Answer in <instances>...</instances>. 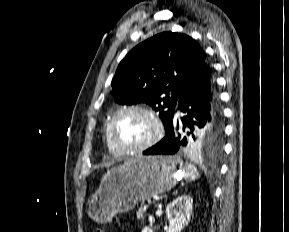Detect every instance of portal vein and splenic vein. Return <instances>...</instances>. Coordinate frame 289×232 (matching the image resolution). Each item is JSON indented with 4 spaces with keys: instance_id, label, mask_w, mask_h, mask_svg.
<instances>
[{
    "instance_id": "obj_1",
    "label": "portal vein and splenic vein",
    "mask_w": 289,
    "mask_h": 232,
    "mask_svg": "<svg viewBox=\"0 0 289 232\" xmlns=\"http://www.w3.org/2000/svg\"><path fill=\"white\" fill-rule=\"evenodd\" d=\"M154 200L157 201V198H155ZM154 200H148V203L152 204L154 202Z\"/></svg>"
}]
</instances>
